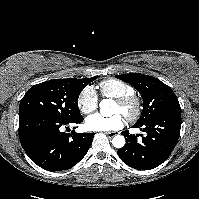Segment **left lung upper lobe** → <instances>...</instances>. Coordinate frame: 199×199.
I'll return each mask as SVG.
<instances>
[{"instance_id":"obj_1","label":"left lung upper lobe","mask_w":199,"mask_h":199,"mask_svg":"<svg viewBox=\"0 0 199 199\" xmlns=\"http://www.w3.org/2000/svg\"><path fill=\"white\" fill-rule=\"evenodd\" d=\"M115 77L131 84L142 95L143 111L136 124H143L170 110H180V104L173 90L159 79L139 73Z\"/></svg>"}]
</instances>
